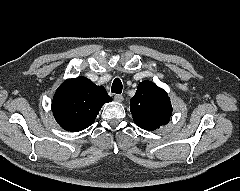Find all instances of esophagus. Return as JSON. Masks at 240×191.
Instances as JSON below:
<instances>
[{
	"mask_svg": "<svg viewBox=\"0 0 240 191\" xmlns=\"http://www.w3.org/2000/svg\"><path fill=\"white\" fill-rule=\"evenodd\" d=\"M114 100H115L116 102H122V101H123V96H122V95H119V94H116V95L114 96Z\"/></svg>",
	"mask_w": 240,
	"mask_h": 191,
	"instance_id": "34e87169",
	"label": "esophagus"
}]
</instances>
